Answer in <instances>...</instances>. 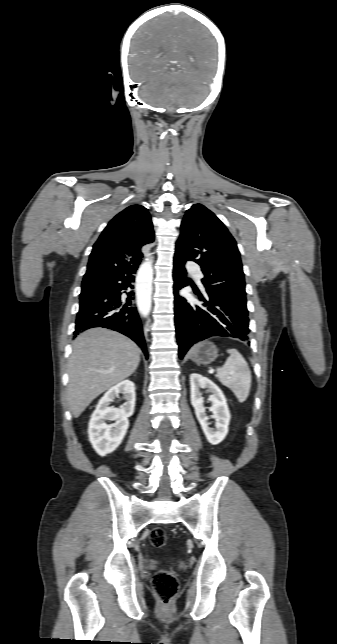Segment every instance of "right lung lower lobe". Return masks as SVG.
<instances>
[{"mask_svg": "<svg viewBox=\"0 0 337 644\" xmlns=\"http://www.w3.org/2000/svg\"><path fill=\"white\" fill-rule=\"evenodd\" d=\"M138 265L127 266L104 278L93 290L80 297L74 334L93 327L118 331L135 341L148 358L141 320L134 304L133 289Z\"/></svg>", "mask_w": 337, "mask_h": 644, "instance_id": "98d812e1", "label": "right lung lower lobe"}]
</instances>
